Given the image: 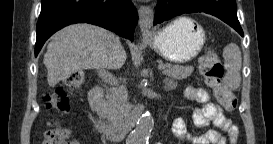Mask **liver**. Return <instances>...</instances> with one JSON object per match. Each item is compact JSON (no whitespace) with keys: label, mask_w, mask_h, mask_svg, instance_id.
<instances>
[{"label":"liver","mask_w":273,"mask_h":144,"mask_svg":"<svg viewBox=\"0 0 273 144\" xmlns=\"http://www.w3.org/2000/svg\"><path fill=\"white\" fill-rule=\"evenodd\" d=\"M110 39L109 31L87 23L69 25L55 33L43 59L48 85L54 87L83 69L121 68L126 52L120 44L118 55L109 57Z\"/></svg>","instance_id":"obj_1"}]
</instances>
